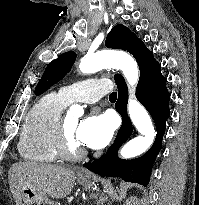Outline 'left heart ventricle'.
Wrapping results in <instances>:
<instances>
[{"label":"left heart ventricle","instance_id":"b2bd125f","mask_svg":"<svg viewBox=\"0 0 199 205\" xmlns=\"http://www.w3.org/2000/svg\"><path fill=\"white\" fill-rule=\"evenodd\" d=\"M79 123H80L79 118L76 116H67L65 118L66 131H67L69 143L75 147H81V144L77 139V129Z\"/></svg>","mask_w":199,"mask_h":205}]
</instances>
